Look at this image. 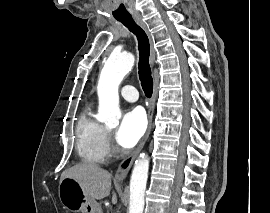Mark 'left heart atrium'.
Masks as SVG:
<instances>
[{
  "label": "left heart atrium",
  "mask_w": 270,
  "mask_h": 213,
  "mask_svg": "<svg viewBox=\"0 0 270 213\" xmlns=\"http://www.w3.org/2000/svg\"><path fill=\"white\" fill-rule=\"evenodd\" d=\"M146 127V117L141 109L126 112L116 131L117 143L125 149L134 147L145 133Z\"/></svg>",
  "instance_id": "obj_1"
}]
</instances>
